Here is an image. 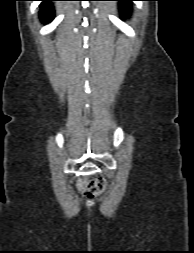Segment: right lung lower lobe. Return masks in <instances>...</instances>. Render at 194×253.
<instances>
[{"mask_svg": "<svg viewBox=\"0 0 194 253\" xmlns=\"http://www.w3.org/2000/svg\"><path fill=\"white\" fill-rule=\"evenodd\" d=\"M42 1V7L40 10V17L43 22H49L53 19L54 16V8L52 6V1L56 0H40Z\"/></svg>", "mask_w": 194, "mask_h": 253, "instance_id": "obj_1", "label": "right lung lower lobe"}]
</instances>
